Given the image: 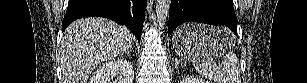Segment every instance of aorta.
I'll use <instances>...</instances> for the list:
<instances>
[{"label":"aorta","mask_w":307,"mask_h":83,"mask_svg":"<svg viewBox=\"0 0 307 83\" xmlns=\"http://www.w3.org/2000/svg\"><path fill=\"white\" fill-rule=\"evenodd\" d=\"M171 0H156V21L159 30H163L169 16Z\"/></svg>","instance_id":"1"}]
</instances>
